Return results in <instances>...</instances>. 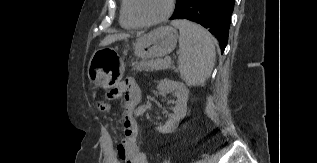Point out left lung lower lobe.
<instances>
[{
    "label": "left lung lower lobe",
    "mask_w": 317,
    "mask_h": 163,
    "mask_svg": "<svg viewBox=\"0 0 317 163\" xmlns=\"http://www.w3.org/2000/svg\"><path fill=\"white\" fill-rule=\"evenodd\" d=\"M235 0H178L172 19H188L207 28L224 51Z\"/></svg>",
    "instance_id": "0a47b994"
}]
</instances>
